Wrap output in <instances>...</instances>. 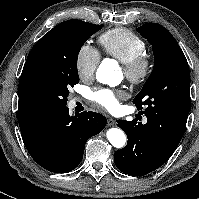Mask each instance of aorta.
Wrapping results in <instances>:
<instances>
[{
	"mask_svg": "<svg viewBox=\"0 0 199 199\" xmlns=\"http://www.w3.org/2000/svg\"><path fill=\"white\" fill-rule=\"evenodd\" d=\"M96 78L104 84H118L121 80V73L109 68L102 63L97 70ZM107 139L116 148H122L126 143V136L119 128H111L107 131Z\"/></svg>",
	"mask_w": 199,
	"mask_h": 199,
	"instance_id": "obj_1",
	"label": "aorta"
}]
</instances>
